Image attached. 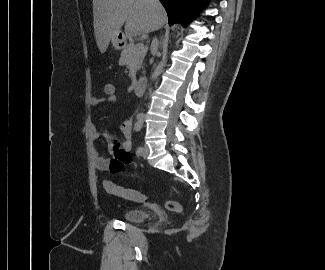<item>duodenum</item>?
<instances>
[{"label":"duodenum","mask_w":325,"mask_h":270,"mask_svg":"<svg viewBox=\"0 0 325 270\" xmlns=\"http://www.w3.org/2000/svg\"><path fill=\"white\" fill-rule=\"evenodd\" d=\"M147 84H148V81L146 78L142 77L137 80L135 88H134V93L137 97H140L144 93V91L147 87Z\"/></svg>","instance_id":"1"}]
</instances>
